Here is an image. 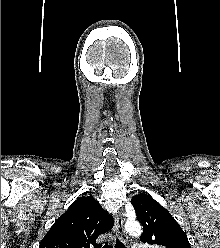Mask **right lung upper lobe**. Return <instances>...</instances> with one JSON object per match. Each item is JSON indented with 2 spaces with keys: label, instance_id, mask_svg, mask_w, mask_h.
Segmentation results:
<instances>
[{
  "label": "right lung upper lobe",
  "instance_id": "cb5924a9",
  "mask_svg": "<svg viewBox=\"0 0 220 248\" xmlns=\"http://www.w3.org/2000/svg\"><path fill=\"white\" fill-rule=\"evenodd\" d=\"M113 227L112 216L93 197L76 199L50 228L39 248H101L99 235Z\"/></svg>",
  "mask_w": 220,
  "mask_h": 248
}]
</instances>
